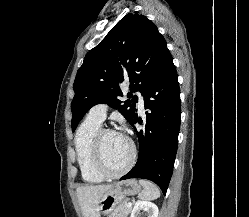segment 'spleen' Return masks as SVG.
<instances>
[{
	"instance_id": "obj_1",
	"label": "spleen",
	"mask_w": 249,
	"mask_h": 217,
	"mask_svg": "<svg viewBox=\"0 0 249 217\" xmlns=\"http://www.w3.org/2000/svg\"><path fill=\"white\" fill-rule=\"evenodd\" d=\"M139 183L143 187L142 192L139 194L140 199L154 200L160 197V190L155 184L143 179H140Z\"/></svg>"
}]
</instances>
